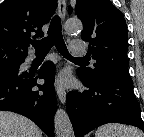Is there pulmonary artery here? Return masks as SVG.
I'll list each match as a JSON object with an SVG mask.
<instances>
[{
	"label": "pulmonary artery",
	"mask_w": 144,
	"mask_h": 137,
	"mask_svg": "<svg viewBox=\"0 0 144 137\" xmlns=\"http://www.w3.org/2000/svg\"><path fill=\"white\" fill-rule=\"evenodd\" d=\"M71 52L76 55L85 54V43L79 40L70 41Z\"/></svg>",
	"instance_id": "1"
}]
</instances>
